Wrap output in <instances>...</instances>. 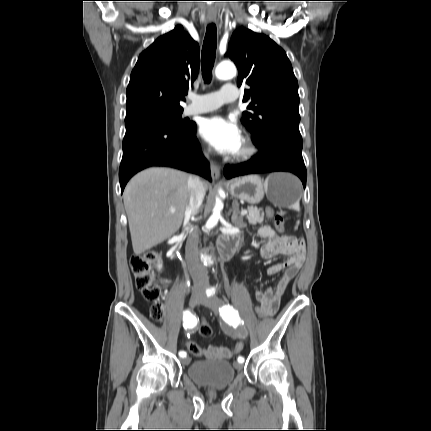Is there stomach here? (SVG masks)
<instances>
[{"instance_id":"0dacf381","label":"stomach","mask_w":431,"mask_h":431,"mask_svg":"<svg viewBox=\"0 0 431 431\" xmlns=\"http://www.w3.org/2000/svg\"><path fill=\"white\" fill-rule=\"evenodd\" d=\"M229 190L232 196L249 204H258L266 194L278 207H291L301 196L299 180L288 173L271 174L265 183L257 175L237 178L230 182Z\"/></svg>"}]
</instances>
